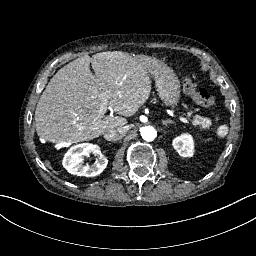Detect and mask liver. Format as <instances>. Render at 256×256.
Returning <instances> with one entry per match:
<instances>
[{"label": "liver", "instance_id": "obj_1", "mask_svg": "<svg viewBox=\"0 0 256 256\" xmlns=\"http://www.w3.org/2000/svg\"><path fill=\"white\" fill-rule=\"evenodd\" d=\"M153 70L144 59L117 50L70 62L53 76L38 101V136L54 144L78 143L121 128L127 124L125 117L149 99ZM109 109L118 115L104 116Z\"/></svg>", "mask_w": 256, "mask_h": 256}]
</instances>
